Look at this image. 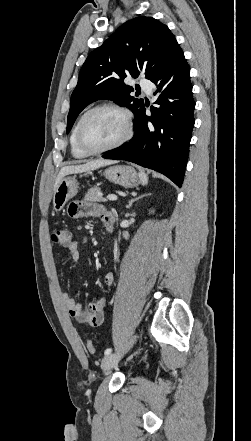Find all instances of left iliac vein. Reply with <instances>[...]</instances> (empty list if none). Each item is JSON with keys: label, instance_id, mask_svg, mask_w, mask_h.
Returning a JSON list of instances; mask_svg holds the SVG:
<instances>
[{"label": "left iliac vein", "instance_id": "4c4485c4", "mask_svg": "<svg viewBox=\"0 0 251 441\" xmlns=\"http://www.w3.org/2000/svg\"><path fill=\"white\" fill-rule=\"evenodd\" d=\"M122 358L121 353H112L106 355L101 362V369L106 372L115 367Z\"/></svg>", "mask_w": 251, "mask_h": 441}]
</instances>
